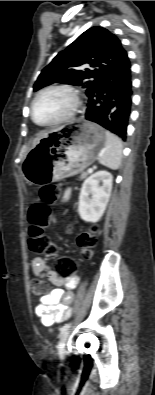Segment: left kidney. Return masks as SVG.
<instances>
[{"mask_svg": "<svg viewBox=\"0 0 155 395\" xmlns=\"http://www.w3.org/2000/svg\"><path fill=\"white\" fill-rule=\"evenodd\" d=\"M112 182L113 176L107 171H98L84 181L78 204L79 215L84 221L94 223L103 216L111 195Z\"/></svg>", "mask_w": 155, "mask_h": 395, "instance_id": "left-kidney-1", "label": "left kidney"}]
</instances>
